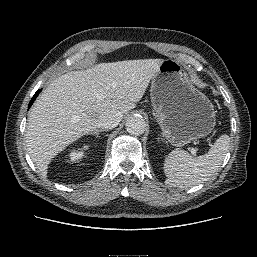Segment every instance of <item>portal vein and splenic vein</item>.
Instances as JSON below:
<instances>
[{
	"label": "portal vein and splenic vein",
	"mask_w": 257,
	"mask_h": 257,
	"mask_svg": "<svg viewBox=\"0 0 257 257\" xmlns=\"http://www.w3.org/2000/svg\"><path fill=\"white\" fill-rule=\"evenodd\" d=\"M190 152H191V154H192L193 156H196V150H195L194 148H191V149H190Z\"/></svg>",
	"instance_id": "obj_1"
}]
</instances>
